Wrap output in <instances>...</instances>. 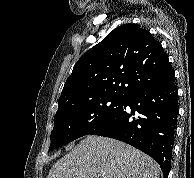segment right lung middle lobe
<instances>
[{
  "label": "right lung middle lobe",
  "instance_id": "obj_1",
  "mask_svg": "<svg viewBox=\"0 0 194 178\" xmlns=\"http://www.w3.org/2000/svg\"><path fill=\"white\" fill-rule=\"evenodd\" d=\"M128 98L98 96L58 109L54 117L49 151L88 135L118 112Z\"/></svg>",
  "mask_w": 194,
  "mask_h": 178
}]
</instances>
